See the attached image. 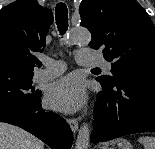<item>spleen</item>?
I'll return each mask as SVG.
<instances>
[{"mask_svg":"<svg viewBox=\"0 0 155 149\" xmlns=\"http://www.w3.org/2000/svg\"><path fill=\"white\" fill-rule=\"evenodd\" d=\"M144 149H155V137L143 136L138 139Z\"/></svg>","mask_w":155,"mask_h":149,"instance_id":"obj_1","label":"spleen"}]
</instances>
